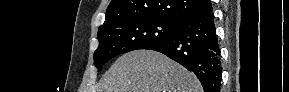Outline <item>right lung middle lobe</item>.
I'll return each mask as SVG.
<instances>
[{"label":"right lung middle lobe","mask_w":289,"mask_h":92,"mask_svg":"<svg viewBox=\"0 0 289 92\" xmlns=\"http://www.w3.org/2000/svg\"><path fill=\"white\" fill-rule=\"evenodd\" d=\"M180 22L158 17L124 20L98 30L99 47L94 53L95 66H102L113 57L162 42L172 37Z\"/></svg>","instance_id":"obj_1"}]
</instances>
